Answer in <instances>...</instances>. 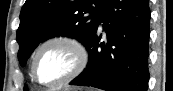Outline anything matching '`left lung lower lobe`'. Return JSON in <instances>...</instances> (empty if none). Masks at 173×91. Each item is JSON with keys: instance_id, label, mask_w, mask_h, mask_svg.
I'll return each mask as SVG.
<instances>
[{"instance_id": "0a47b994", "label": "left lung lower lobe", "mask_w": 173, "mask_h": 91, "mask_svg": "<svg viewBox=\"0 0 173 91\" xmlns=\"http://www.w3.org/2000/svg\"><path fill=\"white\" fill-rule=\"evenodd\" d=\"M148 0H107L86 48V69L70 85L106 91H147L149 81ZM102 24L104 34L99 32ZM102 36L105 41L101 42Z\"/></svg>"}]
</instances>
